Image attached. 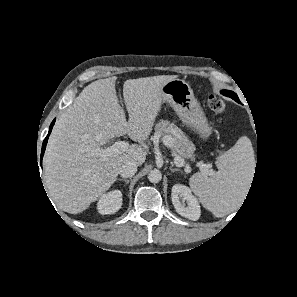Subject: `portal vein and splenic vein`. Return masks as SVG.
<instances>
[{
  "mask_svg": "<svg viewBox=\"0 0 297 297\" xmlns=\"http://www.w3.org/2000/svg\"><path fill=\"white\" fill-rule=\"evenodd\" d=\"M163 144L166 147H170V142L168 139H163ZM127 143L124 141H117L112 146H109L105 149L96 148L92 150V153L96 156H99L102 160H107L109 157L117 154H121L127 150ZM175 162L180 164L181 166H185V161L183 158L176 157ZM198 167L201 169L204 173H212V170H209L211 168L210 164H204V163H197ZM191 168L189 164H186L185 166V172L190 173Z\"/></svg>",
  "mask_w": 297,
  "mask_h": 297,
  "instance_id": "1",
  "label": "portal vein and splenic vein"
}]
</instances>
